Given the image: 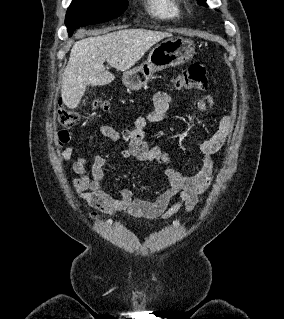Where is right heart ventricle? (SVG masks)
Instances as JSON below:
<instances>
[{"mask_svg": "<svg viewBox=\"0 0 284 319\" xmlns=\"http://www.w3.org/2000/svg\"><path fill=\"white\" fill-rule=\"evenodd\" d=\"M147 12L160 20H176L183 16L181 0H144Z\"/></svg>", "mask_w": 284, "mask_h": 319, "instance_id": "right-heart-ventricle-1", "label": "right heart ventricle"}]
</instances>
